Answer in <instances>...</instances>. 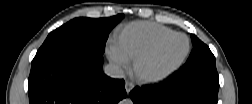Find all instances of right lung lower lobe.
<instances>
[{
	"label": "right lung lower lobe",
	"mask_w": 252,
	"mask_h": 104,
	"mask_svg": "<svg viewBox=\"0 0 252 104\" xmlns=\"http://www.w3.org/2000/svg\"><path fill=\"white\" fill-rule=\"evenodd\" d=\"M103 57L88 49L65 47L36 55L29 76L30 104H117L125 82L106 76Z\"/></svg>",
	"instance_id": "obj_1"
}]
</instances>
